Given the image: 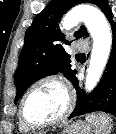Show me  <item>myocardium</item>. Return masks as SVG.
Instances as JSON below:
<instances>
[{
  "label": "myocardium",
  "mask_w": 116,
  "mask_h": 134,
  "mask_svg": "<svg viewBox=\"0 0 116 134\" xmlns=\"http://www.w3.org/2000/svg\"><path fill=\"white\" fill-rule=\"evenodd\" d=\"M45 83H57L64 89L67 95V106L64 112L60 116L52 120L45 121V122L35 123V122L30 121L25 116V113H24L25 101H26L27 96L33 89ZM74 104H75L74 92L71 86L63 78L59 76H55V75L45 76L35 81L32 85H30L27 88V90L24 92V94L22 95L20 103H19V119L24 125H26L27 127L31 129H40V128L54 126V125L62 123L68 118V116L70 115V113L72 112L74 108Z\"/></svg>",
  "instance_id": "myocardium-1"
}]
</instances>
